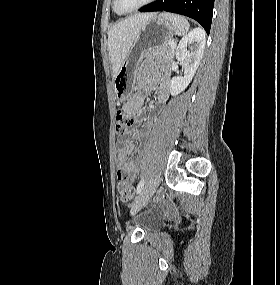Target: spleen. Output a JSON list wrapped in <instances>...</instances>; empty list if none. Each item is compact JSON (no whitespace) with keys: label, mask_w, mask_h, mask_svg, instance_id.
<instances>
[{"label":"spleen","mask_w":280,"mask_h":285,"mask_svg":"<svg viewBox=\"0 0 280 285\" xmlns=\"http://www.w3.org/2000/svg\"><path fill=\"white\" fill-rule=\"evenodd\" d=\"M162 16L173 24L177 35L182 36L189 30L190 25L184 17L172 13H163Z\"/></svg>","instance_id":"spleen-1"}]
</instances>
